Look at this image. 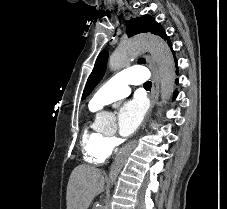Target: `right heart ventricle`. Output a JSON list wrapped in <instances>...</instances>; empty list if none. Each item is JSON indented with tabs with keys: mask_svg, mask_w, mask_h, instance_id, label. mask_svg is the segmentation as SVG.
Instances as JSON below:
<instances>
[{
	"mask_svg": "<svg viewBox=\"0 0 227 209\" xmlns=\"http://www.w3.org/2000/svg\"><path fill=\"white\" fill-rule=\"evenodd\" d=\"M89 111L94 113L96 109L90 104ZM113 147L107 135L96 130L95 126L85 125L82 133V153L86 162L96 166L104 164L111 156Z\"/></svg>",
	"mask_w": 227,
	"mask_h": 209,
	"instance_id": "right-heart-ventricle-1",
	"label": "right heart ventricle"
}]
</instances>
